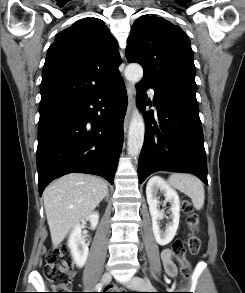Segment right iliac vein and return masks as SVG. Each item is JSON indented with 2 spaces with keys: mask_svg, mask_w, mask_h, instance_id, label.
<instances>
[{
  "mask_svg": "<svg viewBox=\"0 0 245 293\" xmlns=\"http://www.w3.org/2000/svg\"><path fill=\"white\" fill-rule=\"evenodd\" d=\"M112 279V276L110 273H104L102 278H101V281L103 284H108Z\"/></svg>",
  "mask_w": 245,
  "mask_h": 293,
  "instance_id": "right-iliac-vein-1",
  "label": "right iliac vein"
}]
</instances>
